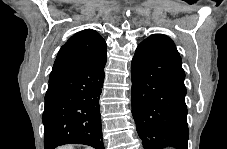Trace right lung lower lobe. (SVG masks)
Wrapping results in <instances>:
<instances>
[{"label":"right lung lower lobe","mask_w":227,"mask_h":149,"mask_svg":"<svg viewBox=\"0 0 227 149\" xmlns=\"http://www.w3.org/2000/svg\"><path fill=\"white\" fill-rule=\"evenodd\" d=\"M105 63L49 81L42 116L45 149L64 144L104 148L99 97Z\"/></svg>","instance_id":"1"}]
</instances>
